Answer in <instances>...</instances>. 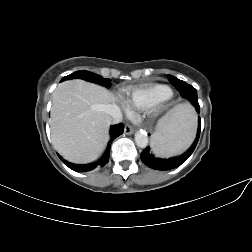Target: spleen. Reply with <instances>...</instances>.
I'll return each mask as SVG.
<instances>
[{"instance_id":"obj_1","label":"spleen","mask_w":252,"mask_h":252,"mask_svg":"<svg viewBox=\"0 0 252 252\" xmlns=\"http://www.w3.org/2000/svg\"><path fill=\"white\" fill-rule=\"evenodd\" d=\"M196 131V116L187 104L174 107L160 122L153 134L151 147L158 157H171L186 150Z\"/></svg>"}]
</instances>
